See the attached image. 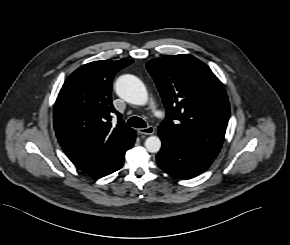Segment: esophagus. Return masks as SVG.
I'll return each instance as SVG.
<instances>
[{"label":"esophagus","instance_id":"1","mask_svg":"<svg viewBox=\"0 0 290 245\" xmlns=\"http://www.w3.org/2000/svg\"><path fill=\"white\" fill-rule=\"evenodd\" d=\"M138 132L144 135H152L155 133V128L153 126H148L146 128H140Z\"/></svg>","mask_w":290,"mask_h":245}]
</instances>
